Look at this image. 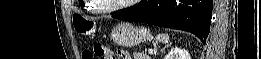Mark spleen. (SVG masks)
Segmentation results:
<instances>
[{"label": "spleen", "mask_w": 261, "mask_h": 59, "mask_svg": "<svg viewBox=\"0 0 261 59\" xmlns=\"http://www.w3.org/2000/svg\"><path fill=\"white\" fill-rule=\"evenodd\" d=\"M156 40L162 43H168L169 42V35L168 34H158L156 36Z\"/></svg>", "instance_id": "obj_1"}]
</instances>
